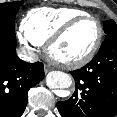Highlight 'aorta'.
Instances as JSON below:
<instances>
[{
    "label": "aorta",
    "mask_w": 117,
    "mask_h": 117,
    "mask_svg": "<svg viewBox=\"0 0 117 117\" xmlns=\"http://www.w3.org/2000/svg\"><path fill=\"white\" fill-rule=\"evenodd\" d=\"M46 84L49 88L59 91L60 96H64V89L72 85V78L70 75L61 71H52L46 77Z\"/></svg>",
    "instance_id": "aorta-1"
}]
</instances>
